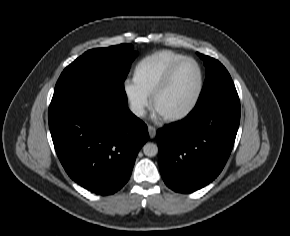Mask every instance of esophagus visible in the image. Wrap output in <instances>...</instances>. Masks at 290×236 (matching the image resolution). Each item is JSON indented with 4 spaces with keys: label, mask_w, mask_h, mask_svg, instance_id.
I'll return each instance as SVG.
<instances>
[{
    "label": "esophagus",
    "mask_w": 290,
    "mask_h": 236,
    "mask_svg": "<svg viewBox=\"0 0 290 236\" xmlns=\"http://www.w3.org/2000/svg\"><path fill=\"white\" fill-rule=\"evenodd\" d=\"M148 133H149L150 138H154L156 135V128L149 125L148 126Z\"/></svg>",
    "instance_id": "esophagus-1"
}]
</instances>
